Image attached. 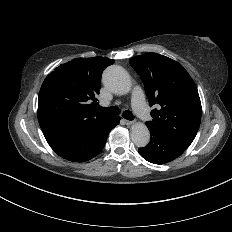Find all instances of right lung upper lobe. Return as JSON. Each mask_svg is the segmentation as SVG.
I'll return each instance as SVG.
<instances>
[{"label":"right lung upper lobe","mask_w":232,"mask_h":232,"mask_svg":"<svg viewBox=\"0 0 232 232\" xmlns=\"http://www.w3.org/2000/svg\"><path fill=\"white\" fill-rule=\"evenodd\" d=\"M114 63L107 57L78 58L60 65L44 80L38 97L42 130L78 127L109 115L97 111L101 75Z\"/></svg>","instance_id":"right-lung-upper-lobe-1"}]
</instances>
